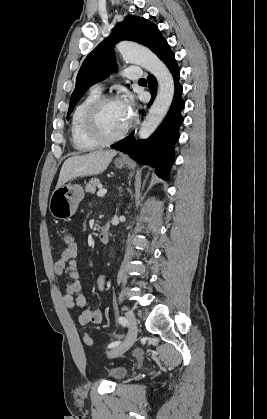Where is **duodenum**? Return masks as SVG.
<instances>
[{"instance_id": "1", "label": "duodenum", "mask_w": 267, "mask_h": 419, "mask_svg": "<svg viewBox=\"0 0 267 419\" xmlns=\"http://www.w3.org/2000/svg\"><path fill=\"white\" fill-rule=\"evenodd\" d=\"M109 235H110V225L104 224L98 232V239L101 243L105 244L109 241Z\"/></svg>"}]
</instances>
